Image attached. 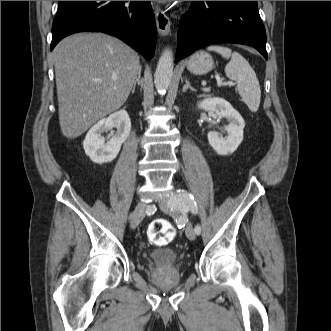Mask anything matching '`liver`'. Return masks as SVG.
I'll return each mask as SVG.
<instances>
[{"mask_svg": "<svg viewBox=\"0 0 331 331\" xmlns=\"http://www.w3.org/2000/svg\"><path fill=\"white\" fill-rule=\"evenodd\" d=\"M59 124L76 138L126 102L141 72L137 53L102 33H78L54 48Z\"/></svg>", "mask_w": 331, "mask_h": 331, "instance_id": "liver-1", "label": "liver"}]
</instances>
